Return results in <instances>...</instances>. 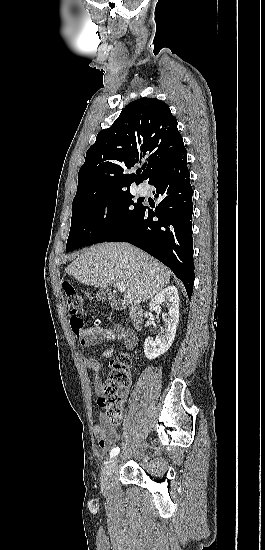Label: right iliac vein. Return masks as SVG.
Returning <instances> with one entry per match:
<instances>
[{"instance_id": "obj_1", "label": "right iliac vein", "mask_w": 265, "mask_h": 550, "mask_svg": "<svg viewBox=\"0 0 265 550\" xmlns=\"http://www.w3.org/2000/svg\"><path fill=\"white\" fill-rule=\"evenodd\" d=\"M117 464H118V458L115 457L108 463V465L103 470L102 476H101V483L104 488H106L109 485L112 475L117 467Z\"/></svg>"}]
</instances>
